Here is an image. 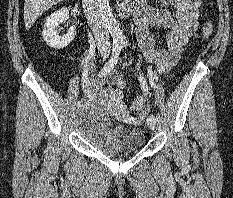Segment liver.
Here are the masks:
<instances>
[{
	"label": "liver",
	"mask_w": 233,
	"mask_h": 198,
	"mask_svg": "<svg viewBox=\"0 0 233 198\" xmlns=\"http://www.w3.org/2000/svg\"><path fill=\"white\" fill-rule=\"evenodd\" d=\"M62 0H24V23L29 30L35 21L49 8Z\"/></svg>",
	"instance_id": "liver-1"
}]
</instances>
